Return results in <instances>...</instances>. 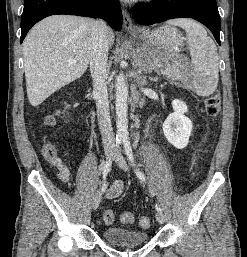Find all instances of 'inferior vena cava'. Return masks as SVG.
<instances>
[{
	"label": "inferior vena cava",
	"mask_w": 247,
	"mask_h": 257,
	"mask_svg": "<svg viewBox=\"0 0 247 257\" xmlns=\"http://www.w3.org/2000/svg\"><path fill=\"white\" fill-rule=\"evenodd\" d=\"M109 29L103 20H97L91 32L90 71L93 79V96L96 100L98 124L105 147L115 146V136L112 129L106 79L108 77L106 64L109 50Z\"/></svg>",
	"instance_id": "1"
}]
</instances>
